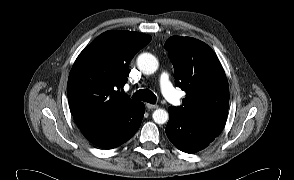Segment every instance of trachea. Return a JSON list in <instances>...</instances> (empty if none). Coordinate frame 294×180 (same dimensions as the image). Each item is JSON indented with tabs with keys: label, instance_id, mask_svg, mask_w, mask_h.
Masks as SVG:
<instances>
[{
	"label": "trachea",
	"instance_id": "trachea-1",
	"mask_svg": "<svg viewBox=\"0 0 294 180\" xmlns=\"http://www.w3.org/2000/svg\"><path fill=\"white\" fill-rule=\"evenodd\" d=\"M133 98L136 100L145 101L151 104H155L157 99L155 94L149 89H142V90L136 91V93L133 95Z\"/></svg>",
	"mask_w": 294,
	"mask_h": 180
}]
</instances>
